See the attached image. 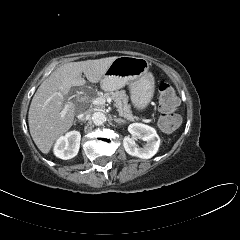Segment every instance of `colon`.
I'll use <instances>...</instances> for the list:
<instances>
[{
	"label": "colon",
	"instance_id": "obj_1",
	"mask_svg": "<svg viewBox=\"0 0 240 240\" xmlns=\"http://www.w3.org/2000/svg\"><path fill=\"white\" fill-rule=\"evenodd\" d=\"M160 118L159 126L165 132L176 129L180 124V117L176 110L178 97L173 87L166 81H160L158 85Z\"/></svg>",
	"mask_w": 240,
	"mask_h": 240
}]
</instances>
